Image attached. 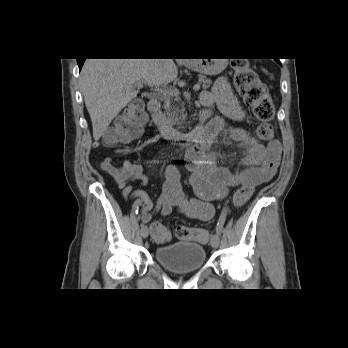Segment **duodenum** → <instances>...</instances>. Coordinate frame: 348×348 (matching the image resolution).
<instances>
[{
    "label": "duodenum",
    "mask_w": 348,
    "mask_h": 348,
    "mask_svg": "<svg viewBox=\"0 0 348 348\" xmlns=\"http://www.w3.org/2000/svg\"><path fill=\"white\" fill-rule=\"evenodd\" d=\"M148 110L151 114L153 125L165 138L190 143L194 147H204L214 136V133L209 124L207 126H197L188 132H180L173 129L164 122L161 114V103L156 98L149 100ZM208 116V110H205L201 115L202 119H206Z\"/></svg>",
    "instance_id": "410a0bca"
}]
</instances>
